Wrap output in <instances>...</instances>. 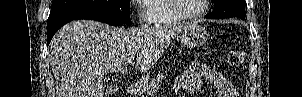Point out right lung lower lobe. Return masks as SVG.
Wrapping results in <instances>:
<instances>
[{"label": "right lung lower lobe", "instance_id": "1", "mask_svg": "<svg viewBox=\"0 0 302 97\" xmlns=\"http://www.w3.org/2000/svg\"><path fill=\"white\" fill-rule=\"evenodd\" d=\"M78 19H88L100 21L113 26H121L124 23L113 16H110L103 12L83 10L67 14L58 15L53 18H48L47 21V45H49L53 35L66 23L78 20Z\"/></svg>", "mask_w": 302, "mask_h": 97}]
</instances>
